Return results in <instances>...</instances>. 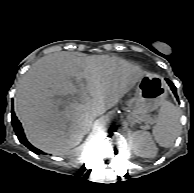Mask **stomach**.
<instances>
[{
  "label": "stomach",
  "instance_id": "0dacf381",
  "mask_svg": "<svg viewBox=\"0 0 194 193\" xmlns=\"http://www.w3.org/2000/svg\"><path fill=\"white\" fill-rule=\"evenodd\" d=\"M167 96L164 80L156 75H146L139 79L136 87V112L147 114L156 110Z\"/></svg>",
  "mask_w": 194,
  "mask_h": 193
}]
</instances>
